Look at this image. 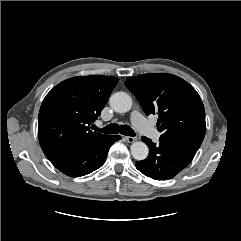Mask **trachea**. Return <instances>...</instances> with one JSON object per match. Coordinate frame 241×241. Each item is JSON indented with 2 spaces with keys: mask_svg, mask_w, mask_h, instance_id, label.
I'll use <instances>...</instances> for the list:
<instances>
[{
  "mask_svg": "<svg viewBox=\"0 0 241 241\" xmlns=\"http://www.w3.org/2000/svg\"><path fill=\"white\" fill-rule=\"evenodd\" d=\"M96 130L106 134H116L120 132L121 134L126 136H135V132L132 130L130 126L128 125L119 126L116 123H111L102 129L96 128Z\"/></svg>",
  "mask_w": 241,
  "mask_h": 241,
  "instance_id": "trachea-1",
  "label": "trachea"
}]
</instances>
